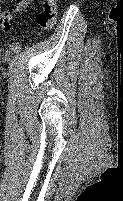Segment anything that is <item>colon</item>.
<instances>
[{"mask_svg":"<svg viewBox=\"0 0 123 201\" xmlns=\"http://www.w3.org/2000/svg\"><path fill=\"white\" fill-rule=\"evenodd\" d=\"M57 19V0H44L41 10L36 14L35 21L41 33L53 29Z\"/></svg>","mask_w":123,"mask_h":201,"instance_id":"1","label":"colon"}]
</instances>
